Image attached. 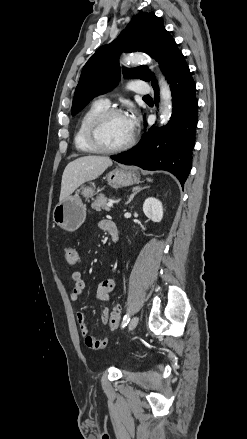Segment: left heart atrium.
Segmentation results:
<instances>
[{
    "mask_svg": "<svg viewBox=\"0 0 247 439\" xmlns=\"http://www.w3.org/2000/svg\"><path fill=\"white\" fill-rule=\"evenodd\" d=\"M128 127L130 131L133 133L137 126V119L134 115H129L126 117Z\"/></svg>",
    "mask_w": 247,
    "mask_h": 439,
    "instance_id": "left-heart-atrium-1",
    "label": "left heart atrium"
}]
</instances>
